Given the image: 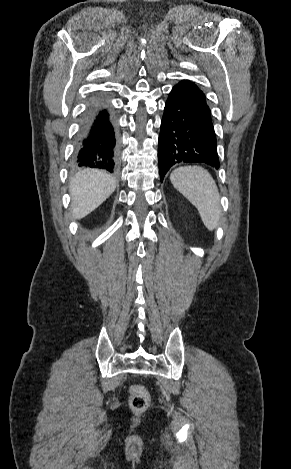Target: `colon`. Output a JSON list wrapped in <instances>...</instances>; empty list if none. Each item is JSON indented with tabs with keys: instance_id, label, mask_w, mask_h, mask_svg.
Returning <instances> with one entry per match:
<instances>
[{
	"instance_id": "1",
	"label": "colon",
	"mask_w": 291,
	"mask_h": 469,
	"mask_svg": "<svg viewBox=\"0 0 291 469\" xmlns=\"http://www.w3.org/2000/svg\"><path fill=\"white\" fill-rule=\"evenodd\" d=\"M129 403L134 410L141 411L146 409L150 403L147 389L141 385H132L129 389Z\"/></svg>"
}]
</instances>
